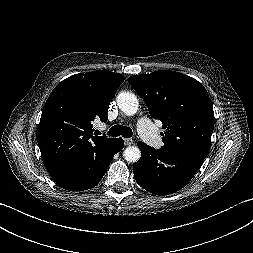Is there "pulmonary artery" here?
Returning a JSON list of instances; mask_svg holds the SVG:
<instances>
[{
  "instance_id": "1",
  "label": "pulmonary artery",
  "mask_w": 253,
  "mask_h": 253,
  "mask_svg": "<svg viewBox=\"0 0 253 253\" xmlns=\"http://www.w3.org/2000/svg\"><path fill=\"white\" fill-rule=\"evenodd\" d=\"M137 130L139 135L152 146L157 147L160 145V137L157 135L155 128L149 119L141 118L138 121Z\"/></svg>"
}]
</instances>
